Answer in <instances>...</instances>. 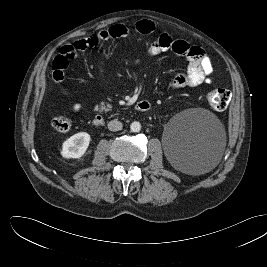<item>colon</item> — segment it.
<instances>
[{
    "instance_id": "obj_1",
    "label": "colon",
    "mask_w": 267,
    "mask_h": 267,
    "mask_svg": "<svg viewBox=\"0 0 267 267\" xmlns=\"http://www.w3.org/2000/svg\"><path fill=\"white\" fill-rule=\"evenodd\" d=\"M231 100L229 90L224 88H217L207 94V101L210 107L215 111H224ZM53 127L60 132H67L71 129V120L67 117H55L52 121Z\"/></svg>"
}]
</instances>
